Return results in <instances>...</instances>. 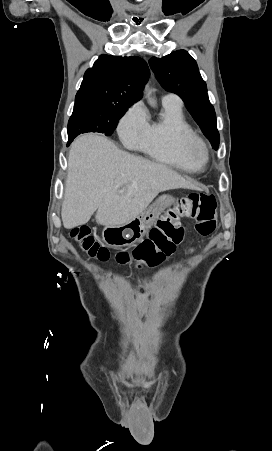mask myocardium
<instances>
[{"mask_svg": "<svg viewBox=\"0 0 272 451\" xmlns=\"http://www.w3.org/2000/svg\"><path fill=\"white\" fill-rule=\"evenodd\" d=\"M175 139L181 144L182 156L193 173L203 170V168L210 163V151L200 137L194 134L183 135L177 132L175 134ZM196 154H201L203 156V162L199 165H197L195 161Z\"/></svg>", "mask_w": 272, "mask_h": 451, "instance_id": "f54148a6", "label": "myocardium"}]
</instances>
